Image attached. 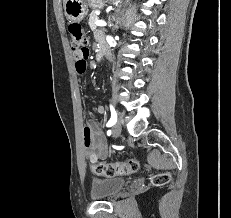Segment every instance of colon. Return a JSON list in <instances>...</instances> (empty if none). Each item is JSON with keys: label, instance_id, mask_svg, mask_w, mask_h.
<instances>
[{"label": "colon", "instance_id": "obj_1", "mask_svg": "<svg viewBox=\"0 0 231 218\" xmlns=\"http://www.w3.org/2000/svg\"><path fill=\"white\" fill-rule=\"evenodd\" d=\"M70 45L74 51H79L82 56H89L88 37L79 23H71L68 27ZM139 169V161L130 158L125 161L111 163L97 162L92 165V171L101 176L114 177L135 173ZM170 174L163 172L152 177L155 185H164L170 181Z\"/></svg>", "mask_w": 231, "mask_h": 218}]
</instances>
